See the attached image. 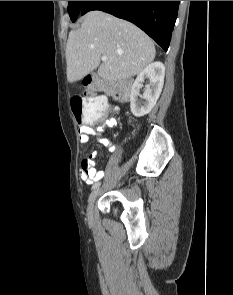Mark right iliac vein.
Wrapping results in <instances>:
<instances>
[{
	"label": "right iliac vein",
	"mask_w": 233,
	"mask_h": 295,
	"mask_svg": "<svg viewBox=\"0 0 233 295\" xmlns=\"http://www.w3.org/2000/svg\"><path fill=\"white\" fill-rule=\"evenodd\" d=\"M100 187L98 186L97 188H95L89 195L88 197V204H87V214L91 215L93 212V206H94V202L97 198V196L100 194Z\"/></svg>",
	"instance_id": "obj_1"
}]
</instances>
